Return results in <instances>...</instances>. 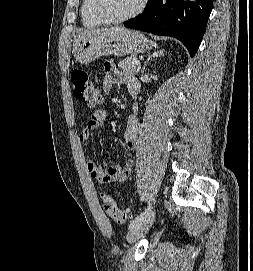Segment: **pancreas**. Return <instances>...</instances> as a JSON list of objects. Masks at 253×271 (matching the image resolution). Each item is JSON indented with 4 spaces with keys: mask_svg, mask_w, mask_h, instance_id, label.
Masks as SVG:
<instances>
[{
    "mask_svg": "<svg viewBox=\"0 0 253 271\" xmlns=\"http://www.w3.org/2000/svg\"><path fill=\"white\" fill-rule=\"evenodd\" d=\"M137 57L131 55L130 57L125 58L121 61L118 66L126 73L135 75L140 71V66L136 65Z\"/></svg>",
    "mask_w": 253,
    "mask_h": 271,
    "instance_id": "obj_1",
    "label": "pancreas"
}]
</instances>
